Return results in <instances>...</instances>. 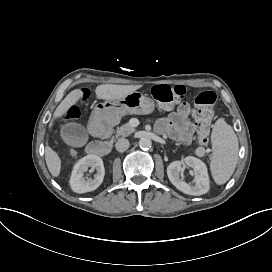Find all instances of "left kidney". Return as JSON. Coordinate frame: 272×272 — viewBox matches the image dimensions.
<instances>
[{
	"label": "left kidney",
	"instance_id": "left-kidney-1",
	"mask_svg": "<svg viewBox=\"0 0 272 272\" xmlns=\"http://www.w3.org/2000/svg\"><path fill=\"white\" fill-rule=\"evenodd\" d=\"M183 165L194 170L196 183L195 186H190L179 179V172ZM167 175L170 182L181 192L187 195H203L209 191V179L205 164L199 159L187 156L183 160L172 161L167 167Z\"/></svg>",
	"mask_w": 272,
	"mask_h": 272
}]
</instances>
